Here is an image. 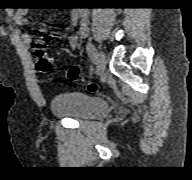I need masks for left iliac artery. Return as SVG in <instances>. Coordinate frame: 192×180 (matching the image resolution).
Returning <instances> with one entry per match:
<instances>
[{
    "label": "left iliac artery",
    "instance_id": "left-iliac-artery-1",
    "mask_svg": "<svg viewBox=\"0 0 192 180\" xmlns=\"http://www.w3.org/2000/svg\"><path fill=\"white\" fill-rule=\"evenodd\" d=\"M86 50H87V52H88V54H89V56L91 57V58H94L95 57V55H96V48H95V46L93 45V43L92 42H88L87 43V45H86Z\"/></svg>",
    "mask_w": 192,
    "mask_h": 180
}]
</instances>
